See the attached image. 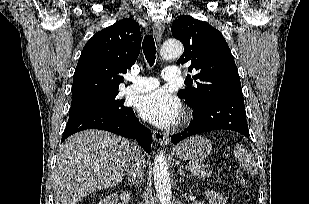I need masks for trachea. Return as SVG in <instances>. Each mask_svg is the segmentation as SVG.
<instances>
[{
  "label": "trachea",
  "mask_w": 309,
  "mask_h": 204,
  "mask_svg": "<svg viewBox=\"0 0 309 204\" xmlns=\"http://www.w3.org/2000/svg\"><path fill=\"white\" fill-rule=\"evenodd\" d=\"M142 47L147 62L149 63L150 66H152L155 63L156 59V47L152 35L145 36Z\"/></svg>",
  "instance_id": "trachea-1"
}]
</instances>
